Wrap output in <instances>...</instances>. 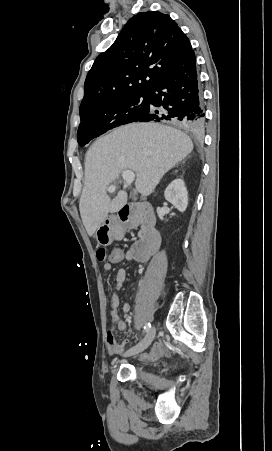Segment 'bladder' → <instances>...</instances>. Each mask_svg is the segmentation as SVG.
Wrapping results in <instances>:
<instances>
[{"label":"bladder","mask_w":272,"mask_h":451,"mask_svg":"<svg viewBox=\"0 0 272 451\" xmlns=\"http://www.w3.org/2000/svg\"><path fill=\"white\" fill-rule=\"evenodd\" d=\"M139 367H140V369H142V370H144V371L147 372L148 367H146V366H144V365H141V366H139Z\"/></svg>","instance_id":"bladder-1"}]
</instances>
